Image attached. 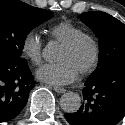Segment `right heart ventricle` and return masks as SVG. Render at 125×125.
Segmentation results:
<instances>
[{
  "mask_svg": "<svg viewBox=\"0 0 125 125\" xmlns=\"http://www.w3.org/2000/svg\"><path fill=\"white\" fill-rule=\"evenodd\" d=\"M80 33H83V30L69 21L60 22L50 28L52 38L60 44Z\"/></svg>",
  "mask_w": 125,
  "mask_h": 125,
  "instance_id": "right-heart-ventricle-1",
  "label": "right heart ventricle"
}]
</instances>
